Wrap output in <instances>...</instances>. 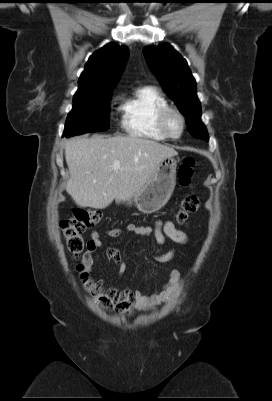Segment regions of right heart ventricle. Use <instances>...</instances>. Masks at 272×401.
I'll use <instances>...</instances> for the list:
<instances>
[{"mask_svg": "<svg viewBox=\"0 0 272 401\" xmlns=\"http://www.w3.org/2000/svg\"><path fill=\"white\" fill-rule=\"evenodd\" d=\"M168 101L154 86H141L122 105V126L134 137L165 141L168 137L159 125V114Z\"/></svg>", "mask_w": 272, "mask_h": 401, "instance_id": "right-heart-ventricle-1", "label": "right heart ventricle"}]
</instances>
